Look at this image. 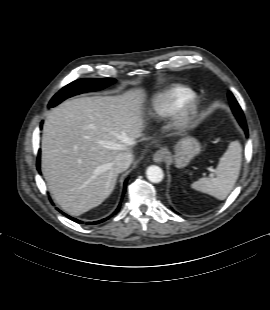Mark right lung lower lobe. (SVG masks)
Instances as JSON below:
<instances>
[{"label": "right lung lower lobe", "mask_w": 270, "mask_h": 310, "mask_svg": "<svg viewBox=\"0 0 270 310\" xmlns=\"http://www.w3.org/2000/svg\"><path fill=\"white\" fill-rule=\"evenodd\" d=\"M37 167H38V170H39V167H40V158H38ZM126 183H127V181H125L124 186H126ZM118 210H119V207L116 209V211L113 213V215L116 214V213L118 212ZM63 214H64V213H63ZM67 217H68L69 219H71V220L77 222V223H81V222H82V221H79V220H77V219H75V218H72V217H70V216H68V215H67ZM108 218H109V217H107V218H105V219H102V220H99V221H95V222H93V224H98V223L104 222V221L107 220ZM87 224H91V223H87Z\"/></svg>", "instance_id": "right-lung-lower-lobe-1"}]
</instances>
